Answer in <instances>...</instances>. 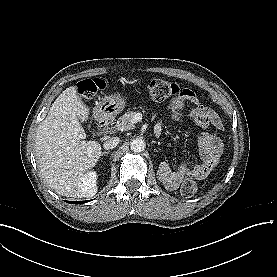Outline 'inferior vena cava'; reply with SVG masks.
Returning <instances> with one entry per match:
<instances>
[{"instance_id": "602c4592", "label": "inferior vena cava", "mask_w": 277, "mask_h": 277, "mask_svg": "<svg viewBox=\"0 0 277 277\" xmlns=\"http://www.w3.org/2000/svg\"><path fill=\"white\" fill-rule=\"evenodd\" d=\"M120 142V139L118 137H111L108 140H106L103 144L104 149L110 150L115 148Z\"/></svg>"}]
</instances>
